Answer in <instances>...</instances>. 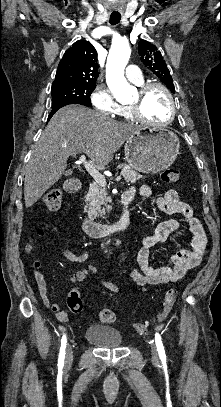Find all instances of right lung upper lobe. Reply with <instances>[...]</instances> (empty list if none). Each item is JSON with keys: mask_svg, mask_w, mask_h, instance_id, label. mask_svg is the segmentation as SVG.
<instances>
[{"mask_svg": "<svg viewBox=\"0 0 221 407\" xmlns=\"http://www.w3.org/2000/svg\"><path fill=\"white\" fill-rule=\"evenodd\" d=\"M98 78L97 51L85 40H78L60 61L52 88L73 83H94Z\"/></svg>", "mask_w": 221, "mask_h": 407, "instance_id": "right-lung-upper-lobe-1", "label": "right lung upper lobe"}]
</instances>
